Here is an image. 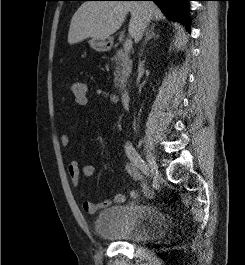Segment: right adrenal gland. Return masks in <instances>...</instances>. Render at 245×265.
I'll return each instance as SVG.
<instances>
[{
    "mask_svg": "<svg viewBox=\"0 0 245 265\" xmlns=\"http://www.w3.org/2000/svg\"><path fill=\"white\" fill-rule=\"evenodd\" d=\"M154 27H155V24H153L150 28V30L146 33V38H145V41H144V44H143V48L145 47V45L147 44V42L152 39V38H158L159 37V34H156L154 32Z\"/></svg>",
    "mask_w": 245,
    "mask_h": 265,
    "instance_id": "2a0ac1e0",
    "label": "right adrenal gland"
}]
</instances>
